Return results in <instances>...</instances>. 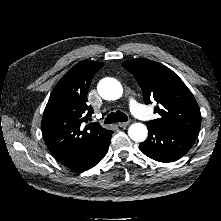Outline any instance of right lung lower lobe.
Instances as JSON below:
<instances>
[{"label":"right lung lower lobe","mask_w":221,"mask_h":221,"mask_svg":"<svg viewBox=\"0 0 221 221\" xmlns=\"http://www.w3.org/2000/svg\"><path fill=\"white\" fill-rule=\"evenodd\" d=\"M112 133L113 131H111L109 136L96 148L65 166L74 171H85L96 165L106 155Z\"/></svg>","instance_id":"1"}]
</instances>
